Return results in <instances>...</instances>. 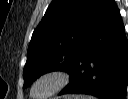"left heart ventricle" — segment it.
Masks as SVG:
<instances>
[{
	"mask_svg": "<svg viewBox=\"0 0 128 99\" xmlns=\"http://www.w3.org/2000/svg\"><path fill=\"white\" fill-rule=\"evenodd\" d=\"M55 84L56 81L54 79H45L36 86L34 94L37 96L44 95L49 92Z\"/></svg>",
	"mask_w": 128,
	"mask_h": 99,
	"instance_id": "1",
	"label": "left heart ventricle"
}]
</instances>
